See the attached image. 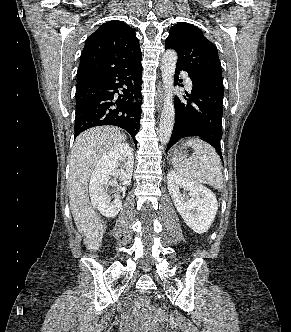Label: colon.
Wrapping results in <instances>:
<instances>
[{
    "label": "colon",
    "instance_id": "colon-1",
    "mask_svg": "<svg viewBox=\"0 0 291 332\" xmlns=\"http://www.w3.org/2000/svg\"><path fill=\"white\" fill-rule=\"evenodd\" d=\"M141 303H142L145 310L152 311V306H151L150 302L147 299L142 298Z\"/></svg>",
    "mask_w": 291,
    "mask_h": 332
}]
</instances>
